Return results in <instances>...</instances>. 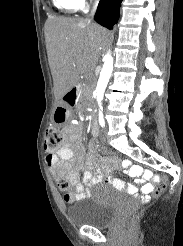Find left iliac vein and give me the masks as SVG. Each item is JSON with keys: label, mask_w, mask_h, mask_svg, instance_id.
Wrapping results in <instances>:
<instances>
[{"label": "left iliac vein", "mask_w": 183, "mask_h": 246, "mask_svg": "<svg viewBox=\"0 0 183 246\" xmlns=\"http://www.w3.org/2000/svg\"><path fill=\"white\" fill-rule=\"evenodd\" d=\"M101 139L104 143H107L108 142V135H107V130L104 129L102 132H101Z\"/></svg>", "instance_id": "4c4485c4"}]
</instances>
